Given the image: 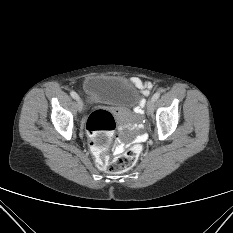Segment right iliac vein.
I'll return each instance as SVG.
<instances>
[{
	"instance_id": "1",
	"label": "right iliac vein",
	"mask_w": 233,
	"mask_h": 233,
	"mask_svg": "<svg viewBox=\"0 0 233 233\" xmlns=\"http://www.w3.org/2000/svg\"><path fill=\"white\" fill-rule=\"evenodd\" d=\"M75 99L77 101L78 110L80 112H82V110H83V101L81 100V98L78 95H77V97Z\"/></svg>"
}]
</instances>
